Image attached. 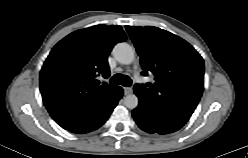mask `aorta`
<instances>
[{"instance_id": "aorta-1", "label": "aorta", "mask_w": 248, "mask_h": 158, "mask_svg": "<svg viewBox=\"0 0 248 158\" xmlns=\"http://www.w3.org/2000/svg\"><path fill=\"white\" fill-rule=\"evenodd\" d=\"M113 56L121 64H131L135 58V50L128 43L121 42L113 48ZM139 100L136 95L129 94L124 98V105L129 109H135Z\"/></svg>"}]
</instances>
